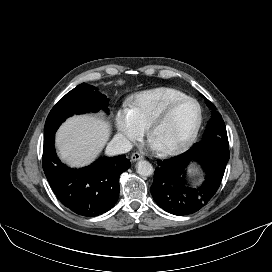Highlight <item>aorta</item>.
Masks as SVG:
<instances>
[{
	"instance_id": "aorta-1",
	"label": "aorta",
	"mask_w": 272,
	"mask_h": 272,
	"mask_svg": "<svg viewBox=\"0 0 272 272\" xmlns=\"http://www.w3.org/2000/svg\"><path fill=\"white\" fill-rule=\"evenodd\" d=\"M137 172L142 176H150L153 173V167L148 161L141 160L137 163Z\"/></svg>"
}]
</instances>
